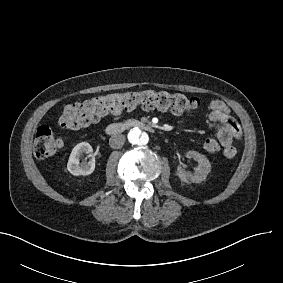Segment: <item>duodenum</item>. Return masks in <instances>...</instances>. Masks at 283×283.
<instances>
[{"label": "duodenum", "instance_id": "obj_1", "mask_svg": "<svg viewBox=\"0 0 283 283\" xmlns=\"http://www.w3.org/2000/svg\"><path fill=\"white\" fill-rule=\"evenodd\" d=\"M131 128H139L147 132L154 131V127L147 122L139 121V120H127L108 125L106 127V133L109 135H116Z\"/></svg>", "mask_w": 283, "mask_h": 283}]
</instances>
